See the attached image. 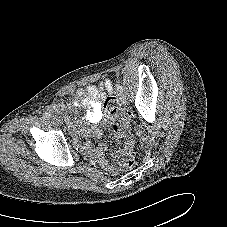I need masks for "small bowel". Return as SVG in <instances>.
I'll list each match as a JSON object with an SVG mask.
<instances>
[{
    "label": "small bowel",
    "instance_id": "obj_1",
    "mask_svg": "<svg viewBox=\"0 0 227 227\" xmlns=\"http://www.w3.org/2000/svg\"><path fill=\"white\" fill-rule=\"evenodd\" d=\"M104 87L105 89L110 92L112 91V85L109 81H106L105 84H104ZM77 94V97L82 99L83 97H85L86 95L87 96H90L92 98H97V97H100V93H99V90L93 86V85H89L87 88L85 89H79L77 90L76 92ZM84 149L87 153L91 154L92 153V148L89 144H86L84 146ZM106 150V147L104 145H100L96 151V155L97 157L100 159L102 165L111 173L115 174L118 172L117 168L112 165V164H109L104 158H103V152Z\"/></svg>",
    "mask_w": 227,
    "mask_h": 227
}]
</instances>
